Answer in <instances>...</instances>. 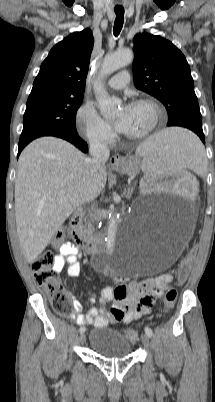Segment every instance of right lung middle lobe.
<instances>
[{"label": "right lung middle lobe", "mask_w": 215, "mask_h": 402, "mask_svg": "<svg viewBox=\"0 0 215 402\" xmlns=\"http://www.w3.org/2000/svg\"><path fill=\"white\" fill-rule=\"evenodd\" d=\"M83 96L41 93L29 96L19 145L41 136L75 133V117Z\"/></svg>", "instance_id": "dd1d6c3e"}]
</instances>
